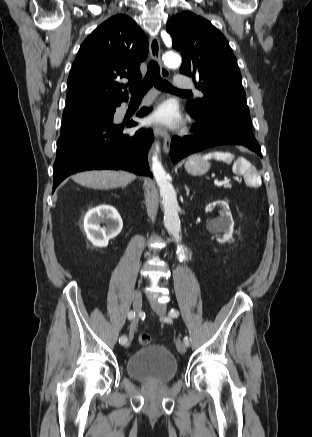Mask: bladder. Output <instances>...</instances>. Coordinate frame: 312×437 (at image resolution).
Returning <instances> with one entry per match:
<instances>
[{"label":"bladder","instance_id":"obj_1","mask_svg":"<svg viewBox=\"0 0 312 437\" xmlns=\"http://www.w3.org/2000/svg\"><path fill=\"white\" fill-rule=\"evenodd\" d=\"M127 374L145 383L165 384L178 372V364L170 350L161 344L143 346L126 362Z\"/></svg>","mask_w":312,"mask_h":437}]
</instances>
